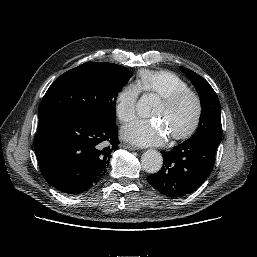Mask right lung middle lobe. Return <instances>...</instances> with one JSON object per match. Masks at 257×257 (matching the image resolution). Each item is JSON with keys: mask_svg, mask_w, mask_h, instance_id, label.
Masks as SVG:
<instances>
[{"mask_svg": "<svg viewBox=\"0 0 257 257\" xmlns=\"http://www.w3.org/2000/svg\"><path fill=\"white\" fill-rule=\"evenodd\" d=\"M132 77L125 67L105 62H88L58 77L39 107V118L70 112L114 123L115 102Z\"/></svg>", "mask_w": 257, "mask_h": 257, "instance_id": "obj_1", "label": "right lung middle lobe"}]
</instances>
